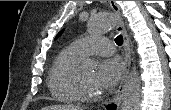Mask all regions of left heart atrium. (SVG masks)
Segmentation results:
<instances>
[{"instance_id": "left-heart-atrium-1", "label": "left heart atrium", "mask_w": 171, "mask_h": 110, "mask_svg": "<svg viewBox=\"0 0 171 110\" xmlns=\"http://www.w3.org/2000/svg\"><path fill=\"white\" fill-rule=\"evenodd\" d=\"M124 65L119 58L103 61L94 73V84L100 91L112 89L120 80Z\"/></svg>"}]
</instances>
